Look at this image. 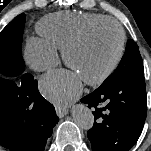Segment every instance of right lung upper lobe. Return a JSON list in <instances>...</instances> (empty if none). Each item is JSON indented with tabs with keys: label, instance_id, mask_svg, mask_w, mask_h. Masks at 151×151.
Returning <instances> with one entry per match:
<instances>
[{
	"label": "right lung upper lobe",
	"instance_id": "cb5924a9",
	"mask_svg": "<svg viewBox=\"0 0 151 151\" xmlns=\"http://www.w3.org/2000/svg\"><path fill=\"white\" fill-rule=\"evenodd\" d=\"M8 129H9L8 115L4 107H1L0 108V136L5 135Z\"/></svg>",
	"mask_w": 151,
	"mask_h": 151
}]
</instances>
